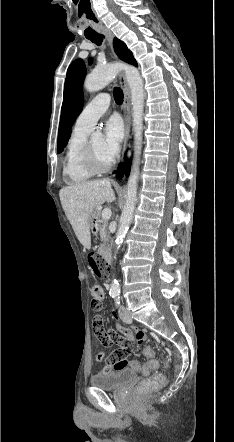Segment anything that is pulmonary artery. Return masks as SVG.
Returning <instances> with one entry per match:
<instances>
[{
  "mask_svg": "<svg viewBox=\"0 0 234 442\" xmlns=\"http://www.w3.org/2000/svg\"><path fill=\"white\" fill-rule=\"evenodd\" d=\"M110 105V97L102 93L94 97L82 110L75 121V128L91 131L98 119L106 112Z\"/></svg>",
  "mask_w": 234,
  "mask_h": 442,
  "instance_id": "e3ab8cb5",
  "label": "pulmonary artery"
}]
</instances>
